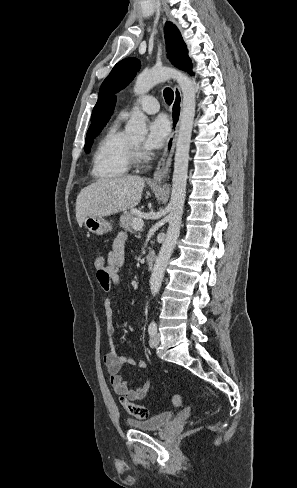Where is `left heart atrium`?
Returning <instances> with one entry per match:
<instances>
[{
	"label": "left heart atrium",
	"mask_w": 297,
	"mask_h": 488,
	"mask_svg": "<svg viewBox=\"0 0 297 488\" xmlns=\"http://www.w3.org/2000/svg\"><path fill=\"white\" fill-rule=\"evenodd\" d=\"M171 132V126L166 116L159 115L149 124L148 136L145 140L144 147L147 151H153L161 148L167 141Z\"/></svg>",
	"instance_id": "1"
}]
</instances>
